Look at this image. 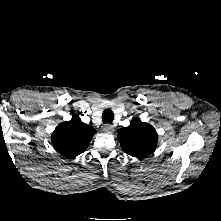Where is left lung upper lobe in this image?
Wrapping results in <instances>:
<instances>
[{"mask_svg":"<svg viewBox=\"0 0 221 221\" xmlns=\"http://www.w3.org/2000/svg\"><path fill=\"white\" fill-rule=\"evenodd\" d=\"M118 140L127 154L143 158L155 151L158 135L150 124L143 123L139 118H133L128 127L120 129Z\"/></svg>","mask_w":221,"mask_h":221,"instance_id":"left-lung-upper-lobe-1","label":"left lung upper lobe"}]
</instances>
